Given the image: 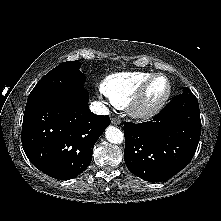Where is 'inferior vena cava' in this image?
Here are the masks:
<instances>
[{"label": "inferior vena cava", "instance_id": "obj_1", "mask_svg": "<svg viewBox=\"0 0 221 221\" xmlns=\"http://www.w3.org/2000/svg\"><path fill=\"white\" fill-rule=\"evenodd\" d=\"M90 110L98 115H109V109L101 102H91Z\"/></svg>", "mask_w": 221, "mask_h": 221}]
</instances>
